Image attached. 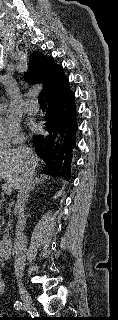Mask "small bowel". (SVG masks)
<instances>
[{
	"label": "small bowel",
	"mask_w": 118,
	"mask_h": 320,
	"mask_svg": "<svg viewBox=\"0 0 118 320\" xmlns=\"http://www.w3.org/2000/svg\"><path fill=\"white\" fill-rule=\"evenodd\" d=\"M4 281L2 279V273H1V270H0V295L4 292Z\"/></svg>",
	"instance_id": "c3829d8e"
}]
</instances>
